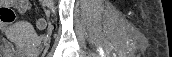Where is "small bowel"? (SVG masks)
<instances>
[{"instance_id":"small-bowel-1","label":"small bowel","mask_w":172,"mask_h":57,"mask_svg":"<svg viewBox=\"0 0 172 57\" xmlns=\"http://www.w3.org/2000/svg\"><path fill=\"white\" fill-rule=\"evenodd\" d=\"M15 5H17L19 7V9L21 11H24L27 7H28V1H25V0H19V1H13ZM6 50H9L10 49V46L9 45H6L4 47Z\"/></svg>"}]
</instances>
